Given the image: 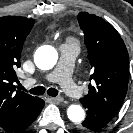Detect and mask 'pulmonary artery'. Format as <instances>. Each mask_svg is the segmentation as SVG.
<instances>
[{"mask_svg": "<svg viewBox=\"0 0 133 133\" xmlns=\"http://www.w3.org/2000/svg\"><path fill=\"white\" fill-rule=\"evenodd\" d=\"M79 46L76 43H64L60 47V58L56 68L45 74L43 80L49 83L58 82L65 93L71 98H79L82 95L81 88L75 84L71 73ZM36 80H28L25 84L35 83Z\"/></svg>", "mask_w": 133, "mask_h": 133, "instance_id": "obj_1", "label": "pulmonary artery"}]
</instances>
